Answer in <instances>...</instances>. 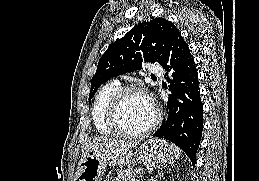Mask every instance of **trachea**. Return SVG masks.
I'll list each match as a JSON object with an SVG mask.
<instances>
[{
    "mask_svg": "<svg viewBox=\"0 0 259 181\" xmlns=\"http://www.w3.org/2000/svg\"><path fill=\"white\" fill-rule=\"evenodd\" d=\"M151 77L154 78V77H156V76H155V75H152Z\"/></svg>",
    "mask_w": 259,
    "mask_h": 181,
    "instance_id": "3493384b",
    "label": "trachea"
}]
</instances>
